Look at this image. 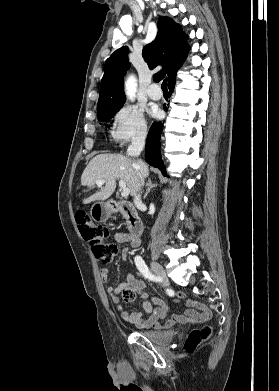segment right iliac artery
Listing matches in <instances>:
<instances>
[{"instance_id":"1","label":"right iliac artery","mask_w":279,"mask_h":391,"mask_svg":"<svg viewBox=\"0 0 279 391\" xmlns=\"http://www.w3.org/2000/svg\"><path fill=\"white\" fill-rule=\"evenodd\" d=\"M135 264L138 268V270L141 272V274L151 280L156 281V276L148 269L147 265L145 264L144 260L140 256L135 257Z\"/></svg>"}]
</instances>
